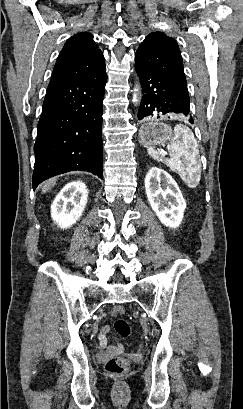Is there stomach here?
Wrapping results in <instances>:
<instances>
[{"mask_svg": "<svg viewBox=\"0 0 243 409\" xmlns=\"http://www.w3.org/2000/svg\"><path fill=\"white\" fill-rule=\"evenodd\" d=\"M140 142L145 146L163 145L173 138L170 126L159 121H149L143 124L139 130Z\"/></svg>", "mask_w": 243, "mask_h": 409, "instance_id": "obj_1", "label": "stomach"}]
</instances>
